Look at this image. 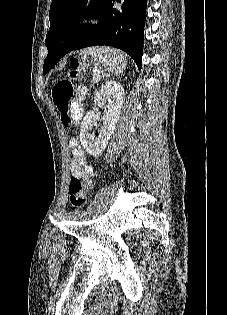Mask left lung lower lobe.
I'll return each mask as SVG.
<instances>
[{"instance_id": "left-lung-lower-lobe-1", "label": "left lung lower lobe", "mask_w": 227, "mask_h": 315, "mask_svg": "<svg viewBox=\"0 0 227 315\" xmlns=\"http://www.w3.org/2000/svg\"><path fill=\"white\" fill-rule=\"evenodd\" d=\"M116 1L121 4L119 10L114 8ZM146 1L108 0L98 16L99 22L92 25L79 42L68 46L61 38L47 40L48 55L44 72L47 73L68 52L97 45L113 46L125 51L141 69Z\"/></svg>"}]
</instances>
